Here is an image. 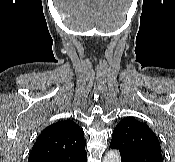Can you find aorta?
Instances as JSON below:
<instances>
[{"mask_svg":"<svg viewBox=\"0 0 175 162\" xmlns=\"http://www.w3.org/2000/svg\"><path fill=\"white\" fill-rule=\"evenodd\" d=\"M103 162H120V154L116 150L108 151L103 159Z\"/></svg>","mask_w":175,"mask_h":162,"instance_id":"aorta-1","label":"aorta"}]
</instances>
